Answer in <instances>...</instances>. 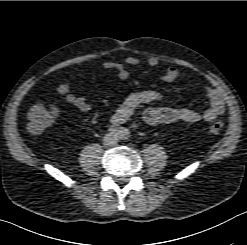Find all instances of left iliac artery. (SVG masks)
I'll return each instance as SVG.
<instances>
[{
	"mask_svg": "<svg viewBox=\"0 0 247 245\" xmlns=\"http://www.w3.org/2000/svg\"><path fill=\"white\" fill-rule=\"evenodd\" d=\"M127 132H126V130H124V131H122V137H124V138H126L127 137Z\"/></svg>",
	"mask_w": 247,
	"mask_h": 245,
	"instance_id": "left-iliac-artery-1",
	"label": "left iliac artery"
}]
</instances>
